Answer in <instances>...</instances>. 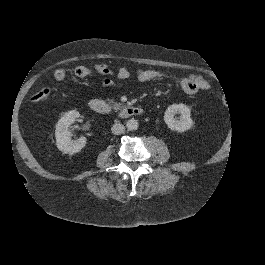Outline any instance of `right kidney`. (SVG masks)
<instances>
[{"label":"right kidney","instance_id":"ca27d5eb","mask_svg":"<svg viewBox=\"0 0 265 265\" xmlns=\"http://www.w3.org/2000/svg\"><path fill=\"white\" fill-rule=\"evenodd\" d=\"M80 117V113L76 110L66 112L56 124L55 137L57 148L66 154H74L86 145V138L80 137L77 140H72V134L69 131V126L74 123L76 118Z\"/></svg>","mask_w":265,"mask_h":265}]
</instances>
